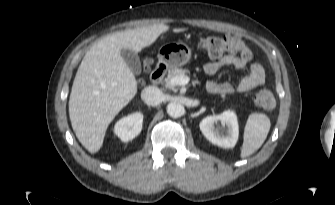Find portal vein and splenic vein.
Here are the masks:
<instances>
[{"mask_svg":"<svg viewBox=\"0 0 335 205\" xmlns=\"http://www.w3.org/2000/svg\"><path fill=\"white\" fill-rule=\"evenodd\" d=\"M189 81H190V78L188 76H177L171 80V84L174 86L175 85L183 86V85L188 84Z\"/></svg>","mask_w":335,"mask_h":205,"instance_id":"portal-vein-and-splenic-vein-1","label":"portal vein and splenic vein"}]
</instances>
